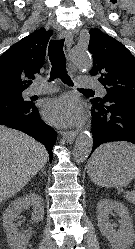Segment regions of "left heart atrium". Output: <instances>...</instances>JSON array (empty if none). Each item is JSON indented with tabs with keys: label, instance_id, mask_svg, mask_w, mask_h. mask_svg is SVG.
I'll use <instances>...</instances> for the list:
<instances>
[{
	"label": "left heart atrium",
	"instance_id": "1",
	"mask_svg": "<svg viewBox=\"0 0 135 249\" xmlns=\"http://www.w3.org/2000/svg\"><path fill=\"white\" fill-rule=\"evenodd\" d=\"M46 119L57 126H71L82 122L83 111L78 100L71 95L50 99L44 106Z\"/></svg>",
	"mask_w": 135,
	"mask_h": 249
}]
</instances>
